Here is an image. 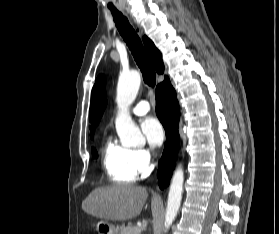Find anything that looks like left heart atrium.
Listing matches in <instances>:
<instances>
[{
  "instance_id": "39dd6f15",
  "label": "left heart atrium",
  "mask_w": 279,
  "mask_h": 234,
  "mask_svg": "<svg viewBox=\"0 0 279 234\" xmlns=\"http://www.w3.org/2000/svg\"><path fill=\"white\" fill-rule=\"evenodd\" d=\"M141 128L150 146L159 147L163 143L165 136L164 129L156 118H145L141 124Z\"/></svg>"
}]
</instances>
